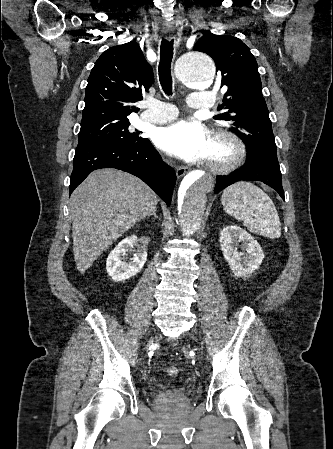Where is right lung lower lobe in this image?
<instances>
[{
	"label": "right lung lower lobe",
	"mask_w": 333,
	"mask_h": 449,
	"mask_svg": "<svg viewBox=\"0 0 333 449\" xmlns=\"http://www.w3.org/2000/svg\"><path fill=\"white\" fill-rule=\"evenodd\" d=\"M69 192L100 168H116L142 179L169 206L176 183L175 171L162 161L148 139L139 145L96 143L77 146Z\"/></svg>",
	"instance_id": "1"
}]
</instances>
